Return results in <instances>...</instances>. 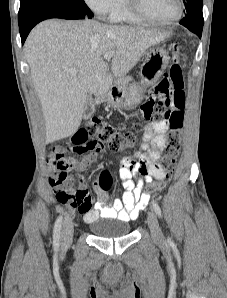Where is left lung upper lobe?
<instances>
[{"label":"left lung upper lobe","instance_id":"obj_1","mask_svg":"<svg viewBox=\"0 0 227 298\" xmlns=\"http://www.w3.org/2000/svg\"><path fill=\"white\" fill-rule=\"evenodd\" d=\"M186 13L185 17L180 21V24L188 28L190 31L202 32L203 29V0H183Z\"/></svg>","mask_w":227,"mask_h":298}]
</instances>
